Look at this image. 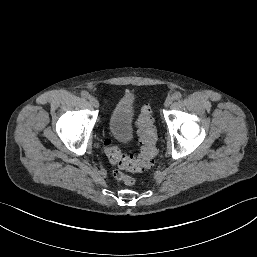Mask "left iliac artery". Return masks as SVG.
<instances>
[{
	"mask_svg": "<svg viewBox=\"0 0 257 257\" xmlns=\"http://www.w3.org/2000/svg\"><path fill=\"white\" fill-rule=\"evenodd\" d=\"M182 98V94L180 92H175L173 94V99L174 100H180Z\"/></svg>",
	"mask_w": 257,
	"mask_h": 257,
	"instance_id": "obj_1",
	"label": "left iliac artery"
}]
</instances>
